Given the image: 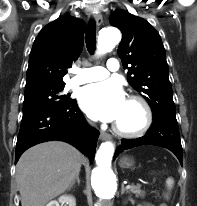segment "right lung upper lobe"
I'll use <instances>...</instances> for the list:
<instances>
[{
	"mask_svg": "<svg viewBox=\"0 0 197 206\" xmlns=\"http://www.w3.org/2000/svg\"><path fill=\"white\" fill-rule=\"evenodd\" d=\"M85 23L64 15L46 25L36 37L29 56L25 88L65 85L67 68L83 48Z\"/></svg>",
	"mask_w": 197,
	"mask_h": 206,
	"instance_id": "1",
	"label": "right lung upper lobe"
}]
</instances>
